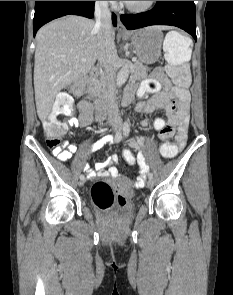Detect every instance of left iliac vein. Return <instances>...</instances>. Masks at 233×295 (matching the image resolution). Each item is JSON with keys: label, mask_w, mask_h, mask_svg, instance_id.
<instances>
[{"label": "left iliac vein", "mask_w": 233, "mask_h": 295, "mask_svg": "<svg viewBox=\"0 0 233 295\" xmlns=\"http://www.w3.org/2000/svg\"><path fill=\"white\" fill-rule=\"evenodd\" d=\"M153 186V181H152V179H149L148 181H147V187L148 188H151Z\"/></svg>", "instance_id": "4c4485c4"}]
</instances>
